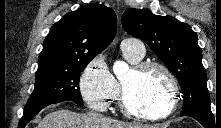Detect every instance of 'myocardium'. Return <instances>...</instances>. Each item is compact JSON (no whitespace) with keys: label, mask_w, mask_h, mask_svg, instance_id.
Here are the masks:
<instances>
[{"label":"myocardium","mask_w":221,"mask_h":128,"mask_svg":"<svg viewBox=\"0 0 221 128\" xmlns=\"http://www.w3.org/2000/svg\"><path fill=\"white\" fill-rule=\"evenodd\" d=\"M152 69L160 70L169 84L170 94L168 98V106L164 111L157 113L146 114L134 111L127 102V90L124 83L122 82L119 106L124 115L131 119L143 121H160L172 115L177 108L179 87L174 74L167 66L159 62L146 61L139 63L133 67V71L138 74H142Z\"/></svg>","instance_id":"obj_1"}]
</instances>
